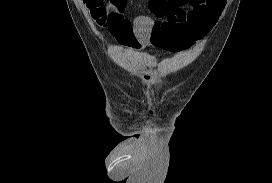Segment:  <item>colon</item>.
<instances>
[{
    "label": "colon",
    "instance_id": "5ec220e1",
    "mask_svg": "<svg viewBox=\"0 0 272 183\" xmlns=\"http://www.w3.org/2000/svg\"><path fill=\"white\" fill-rule=\"evenodd\" d=\"M111 8L116 16L117 20L121 21L123 19V4L122 0H113ZM86 7L90 10L92 17L96 20L99 25L106 26L110 28L113 25V19L109 14L108 0H84Z\"/></svg>",
    "mask_w": 272,
    "mask_h": 183
}]
</instances>
